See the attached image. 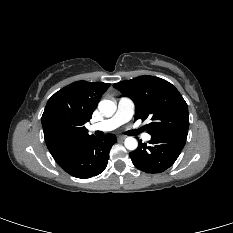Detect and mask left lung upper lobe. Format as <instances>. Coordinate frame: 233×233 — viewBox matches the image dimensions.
I'll list each match as a JSON object with an SVG mask.
<instances>
[{
  "instance_id": "left-lung-upper-lobe-1",
  "label": "left lung upper lobe",
  "mask_w": 233,
  "mask_h": 233,
  "mask_svg": "<svg viewBox=\"0 0 233 233\" xmlns=\"http://www.w3.org/2000/svg\"><path fill=\"white\" fill-rule=\"evenodd\" d=\"M135 103V120L149 118L145 127L152 137L188 134V107L178 90L168 81L143 75L113 85Z\"/></svg>"
}]
</instances>
